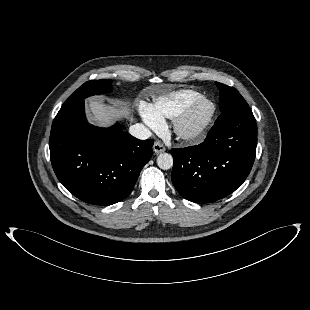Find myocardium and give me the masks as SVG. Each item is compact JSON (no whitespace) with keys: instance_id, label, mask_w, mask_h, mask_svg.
<instances>
[{"instance_id":"obj_1","label":"myocardium","mask_w":310,"mask_h":310,"mask_svg":"<svg viewBox=\"0 0 310 310\" xmlns=\"http://www.w3.org/2000/svg\"><path fill=\"white\" fill-rule=\"evenodd\" d=\"M202 103L209 105L210 109L208 114L197 127L188 129L187 122L192 111ZM216 111V104L210 98L200 96L194 99L174 118L173 131L175 135L178 139L186 143L193 144L199 142L210 128L215 118Z\"/></svg>"}]
</instances>
